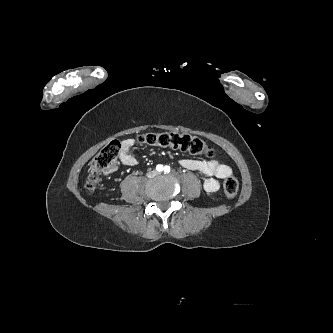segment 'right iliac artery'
<instances>
[{"label": "right iliac artery", "mask_w": 333, "mask_h": 333, "mask_svg": "<svg viewBox=\"0 0 333 333\" xmlns=\"http://www.w3.org/2000/svg\"><path fill=\"white\" fill-rule=\"evenodd\" d=\"M156 170H157L158 172H162V171H163V165H161V164L157 165V166H156Z\"/></svg>", "instance_id": "82829eb1"}]
</instances>
